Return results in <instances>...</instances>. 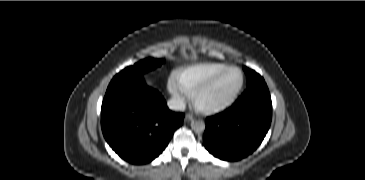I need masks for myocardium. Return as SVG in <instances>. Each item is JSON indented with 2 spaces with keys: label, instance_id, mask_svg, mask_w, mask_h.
<instances>
[{
  "label": "myocardium",
  "instance_id": "1",
  "mask_svg": "<svg viewBox=\"0 0 365 180\" xmlns=\"http://www.w3.org/2000/svg\"><path fill=\"white\" fill-rule=\"evenodd\" d=\"M229 70H237L241 75L240 85H239L238 89L236 90V92L234 93V95L228 101H226L222 104L211 106V107H201L197 102L198 95L200 93H202L203 91H205L207 88H209L221 75H223L225 72H227ZM245 81H246L245 73L240 67L235 66V65L227 66L224 69H222V70L218 71L217 73H215L214 75H212L209 79H207L204 83H202L200 86H198L192 92V94H191L192 103L198 111L205 113V114H215V113L222 112V111L230 108L231 106H233L235 104V102L238 100V98L245 86Z\"/></svg>",
  "mask_w": 365,
  "mask_h": 180
}]
</instances>
